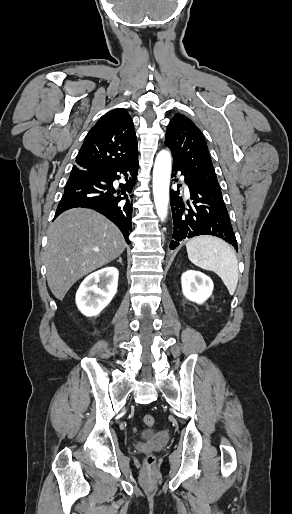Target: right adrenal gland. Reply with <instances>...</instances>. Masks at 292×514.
<instances>
[{"instance_id": "obj_1", "label": "right adrenal gland", "mask_w": 292, "mask_h": 514, "mask_svg": "<svg viewBox=\"0 0 292 514\" xmlns=\"http://www.w3.org/2000/svg\"><path fill=\"white\" fill-rule=\"evenodd\" d=\"M117 262H120V264H122V258H119V260H117ZM123 266V264H122Z\"/></svg>"}]
</instances>
